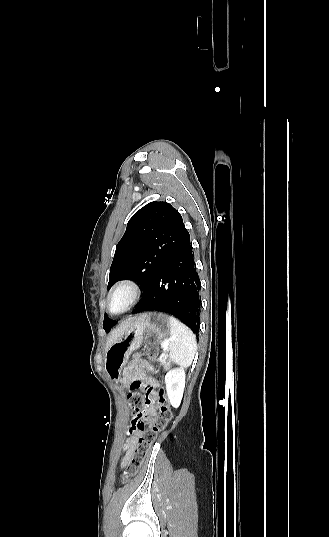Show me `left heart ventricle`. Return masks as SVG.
<instances>
[{
  "label": "left heart ventricle",
  "mask_w": 329,
  "mask_h": 537,
  "mask_svg": "<svg viewBox=\"0 0 329 537\" xmlns=\"http://www.w3.org/2000/svg\"><path fill=\"white\" fill-rule=\"evenodd\" d=\"M130 300L131 292L128 289H120L111 298V308L114 312H120L127 307Z\"/></svg>",
  "instance_id": "1"
}]
</instances>
